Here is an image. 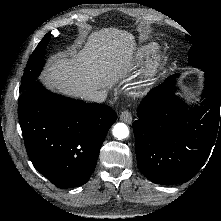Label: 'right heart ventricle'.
Masks as SVG:
<instances>
[{
	"label": "right heart ventricle",
	"mask_w": 221,
	"mask_h": 221,
	"mask_svg": "<svg viewBox=\"0 0 221 221\" xmlns=\"http://www.w3.org/2000/svg\"><path fill=\"white\" fill-rule=\"evenodd\" d=\"M153 47L154 46L152 44H149V45L144 46L143 48H141V50H140V57L143 58L147 54H149L152 51Z\"/></svg>",
	"instance_id": "right-heart-ventricle-1"
}]
</instances>
